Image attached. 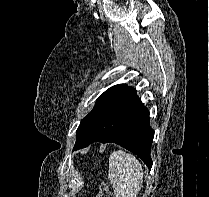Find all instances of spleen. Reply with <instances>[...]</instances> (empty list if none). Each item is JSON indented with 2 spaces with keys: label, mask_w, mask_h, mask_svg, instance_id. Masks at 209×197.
Segmentation results:
<instances>
[{
  "label": "spleen",
  "mask_w": 209,
  "mask_h": 197,
  "mask_svg": "<svg viewBox=\"0 0 209 197\" xmlns=\"http://www.w3.org/2000/svg\"><path fill=\"white\" fill-rule=\"evenodd\" d=\"M116 197H136L143 183L142 165L122 150L110 154L109 174Z\"/></svg>",
  "instance_id": "obj_1"
}]
</instances>
